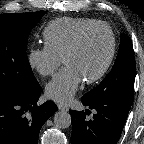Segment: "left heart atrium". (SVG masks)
Segmentation results:
<instances>
[{"mask_svg":"<svg viewBox=\"0 0 144 144\" xmlns=\"http://www.w3.org/2000/svg\"><path fill=\"white\" fill-rule=\"evenodd\" d=\"M83 78L80 73L72 66L66 65L46 86L48 98L67 103L77 92Z\"/></svg>","mask_w":144,"mask_h":144,"instance_id":"1","label":"left heart atrium"}]
</instances>
